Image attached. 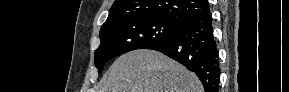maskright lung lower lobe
Here are the masks:
<instances>
[{"label": "right lung lower lobe", "mask_w": 289, "mask_h": 92, "mask_svg": "<svg viewBox=\"0 0 289 92\" xmlns=\"http://www.w3.org/2000/svg\"><path fill=\"white\" fill-rule=\"evenodd\" d=\"M146 49L159 51L195 72L205 92L218 91L219 54L209 10L182 23L170 39Z\"/></svg>", "instance_id": "obj_1"}]
</instances>
